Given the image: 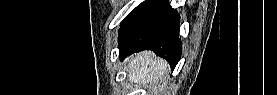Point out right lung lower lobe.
I'll use <instances>...</instances> for the list:
<instances>
[{
	"instance_id": "98d812e1",
	"label": "right lung lower lobe",
	"mask_w": 277,
	"mask_h": 95,
	"mask_svg": "<svg viewBox=\"0 0 277 95\" xmlns=\"http://www.w3.org/2000/svg\"><path fill=\"white\" fill-rule=\"evenodd\" d=\"M179 25V14L167 0H147L120 27V58L142 50H153L165 58L173 70L182 52Z\"/></svg>"
}]
</instances>
